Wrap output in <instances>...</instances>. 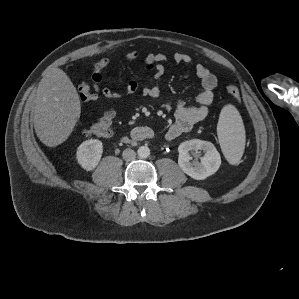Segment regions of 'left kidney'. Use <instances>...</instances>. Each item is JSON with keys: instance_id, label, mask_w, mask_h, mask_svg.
<instances>
[{"instance_id": "5707ae66", "label": "left kidney", "mask_w": 299, "mask_h": 299, "mask_svg": "<svg viewBox=\"0 0 299 299\" xmlns=\"http://www.w3.org/2000/svg\"><path fill=\"white\" fill-rule=\"evenodd\" d=\"M202 150L205 155L200 163H190L189 151ZM178 165L184 173L195 180H204L213 175L221 165V157L215 146L208 141L192 139L182 142L179 147Z\"/></svg>"}]
</instances>
